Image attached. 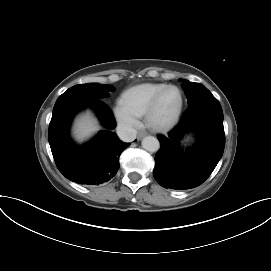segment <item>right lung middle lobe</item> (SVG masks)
<instances>
[{"instance_id":"1","label":"right lung middle lobe","mask_w":271,"mask_h":271,"mask_svg":"<svg viewBox=\"0 0 271 271\" xmlns=\"http://www.w3.org/2000/svg\"><path fill=\"white\" fill-rule=\"evenodd\" d=\"M112 87H106L96 83L79 84L69 88L56 101V104L66 101L103 99L112 91Z\"/></svg>"}]
</instances>
